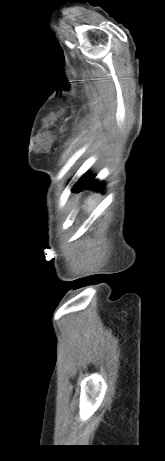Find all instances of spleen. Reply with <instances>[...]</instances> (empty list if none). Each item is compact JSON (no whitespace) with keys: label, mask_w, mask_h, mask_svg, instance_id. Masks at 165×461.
I'll list each match as a JSON object with an SVG mask.
<instances>
[{"label":"spleen","mask_w":165,"mask_h":461,"mask_svg":"<svg viewBox=\"0 0 165 461\" xmlns=\"http://www.w3.org/2000/svg\"><path fill=\"white\" fill-rule=\"evenodd\" d=\"M87 204H88V207H87L86 209H87L88 211H92L93 208L95 207V204H96V203H95L94 200L89 199L88 202H87Z\"/></svg>","instance_id":"spleen-1"}]
</instances>
